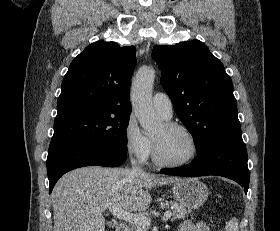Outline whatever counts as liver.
<instances>
[{
    "label": "liver",
    "mask_w": 280,
    "mask_h": 231,
    "mask_svg": "<svg viewBox=\"0 0 280 231\" xmlns=\"http://www.w3.org/2000/svg\"><path fill=\"white\" fill-rule=\"evenodd\" d=\"M178 177H158L153 173L125 167H78L65 173L52 191L53 231H105L104 209L146 211L155 185L174 183Z\"/></svg>",
    "instance_id": "liver-1"
}]
</instances>
